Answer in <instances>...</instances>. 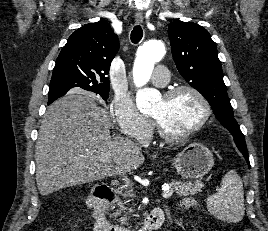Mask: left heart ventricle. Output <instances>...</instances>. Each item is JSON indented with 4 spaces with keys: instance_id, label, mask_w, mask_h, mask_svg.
<instances>
[{
    "instance_id": "1",
    "label": "left heart ventricle",
    "mask_w": 268,
    "mask_h": 231,
    "mask_svg": "<svg viewBox=\"0 0 268 231\" xmlns=\"http://www.w3.org/2000/svg\"><path fill=\"white\" fill-rule=\"evenodd\" d=\"M149 114L158 118L170 132L183 133L200 120L202 106L192 94L181 93L168 101L161 97L152 105Z\"/></svg>"
}]
</instances>
